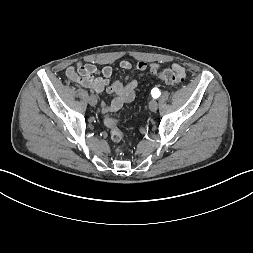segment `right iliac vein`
Wrapping results in <instances>:
<instances>
[{
  "mask_svg": "<svg viewBox=\"0 0 253 253\" xmlns=\"http://www.w3.org/2000/svg\"><path fill=\"white\" fill-rule=\"evenodd\" d=\"M88 102L91 106H95L97 104V97L95 95H91Z\"/></svg>",
  "mask_w": 253,
  "mask_h": 253,
  "instance_id": "right-iliac-vein-1",
  "label": "right iliac vein"
}]
</instances>
